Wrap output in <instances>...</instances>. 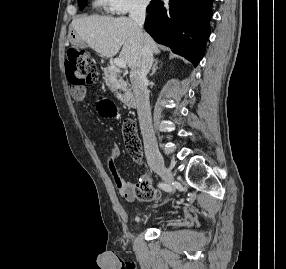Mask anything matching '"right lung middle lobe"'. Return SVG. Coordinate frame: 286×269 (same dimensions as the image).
<instances>
[{
	"instance_id": "obj_1",
	"label": "right lung middle lobe",
	"mask_w": 286,
	"mask_h": 269,
	"mask_svg": "<svg viewBox=\"0 0 286 269\" xmlns=\"http://www.w3.org/2000/svg\"><path fill=\"white\" fill-rule=\"evenodd\" d=\"M87 0H78V5L80 10H82L86 4Z\"/></svg>"
}]
</instances>
